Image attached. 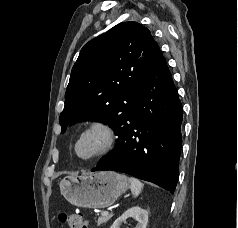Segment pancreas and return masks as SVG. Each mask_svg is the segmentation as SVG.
Listing matches in <instances>:
<instances>
[{"instance_id": "obj_1", "label": "pancreas", "mask_w": 238, "mask_h": 228, "mask_svg": "<svg viewBox=\"0 0 238 228\" xmlns=\"http://www.w3.org/2000/svg\"><path fill=\"white\" fill-rule=\"evenodd\" d=\"M112 215L111 214H107V215H102L100 217H98L96 223L98 226L105 224L106 222H108L111 219Z\"/></svg>"}]
</instances>
